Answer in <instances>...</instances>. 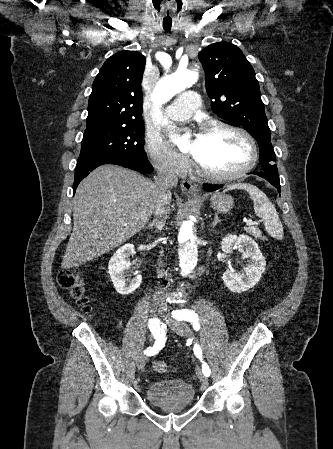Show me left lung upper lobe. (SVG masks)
<instances>
[{"instance_id":"1","label":"left lung upper lobe","mask_w":333,"mask_h":449,"mask_svg":"<svg viewBox=\"0 0 333 449\" xmlns=\"http://www.w3.org/2000/svg\"><path fill=\"white\" fill-rule=\"evenodd\" d=\"M198 58L205 69L207 93L214 100L213 112L244 127L258 142L262 172L279 176L253 67L237 46L227 42L209 45Z\"/></svg>"}]
</instances>
